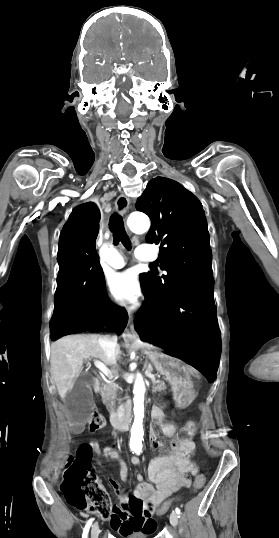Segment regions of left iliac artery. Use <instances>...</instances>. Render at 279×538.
Listing matches in <instances>:
<instances>
[{"mask_svg":"<svg viewBox=\"0 0 279 538\" xmlns=\"http://www.w3.org/2000/svg\"><path fill=\"white\" fill-rule=\"evenodd\" d=\"M140 452H141V450H137V451H136V453H137L138 455L140 454ZM175 511H176V513H177L178 515L181 514V511H180L179 508H176Z\"/></svg>","mask_w":279,"mask_h":538,"instance_id":"44dca946","label":"left iliac artery"}]
</instances>
